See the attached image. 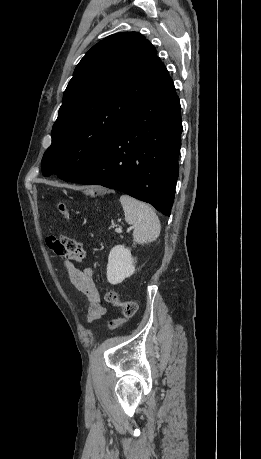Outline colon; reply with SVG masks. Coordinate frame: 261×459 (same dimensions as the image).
Listing matches in <instances>:
<instances>
[{
  "instance_id": "colon-1",
  "label": "colon",
  "mask_w": 261,
  "mask_h": 459,
  "mask_svg": "<svg viewBox=\"0 0 261 459\" xmlns=\"http://www.w3.org/2000/svg\"><path fill=\"white\" fill-rule=\"evenodd\" d=\"M89 194H92V191H89ZM97 192H93V195H97ZM56 207L60 214L68 219L69 218V211L64 202H57ZM105 301L113 306L120 307L122 309V317L115 318L110 320L109 327L111 329H116L120 325L124 324L128 320H130L137 312L138 305L134 301H121L117 292L114 290H107L104 294Z\"/></svg>"
}]
</instances>
